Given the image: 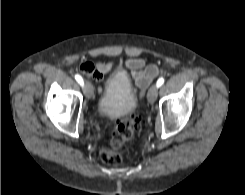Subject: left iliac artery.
Here are the masks:
<instances>
[{
    "label": "left iliac artery",
    "instance_id": "44dca946",
    "mask_svg": "<svg viewBox=\"0 0 245 195\" xmlns=\"http://www.w3.org/2000/svg\"><path fill=\"white\" fill-rule=\"evenodd\" d=\"M163 83H164V78H163V77H161V78H159V79H158V81H157L156 85H157V87H160V86H162V85H163Z\"/></svg>",
    "mask_w": 245,
    "mask_h": 195
}]
</instances>
